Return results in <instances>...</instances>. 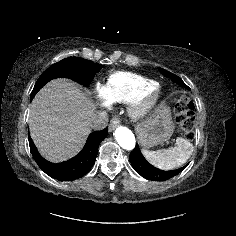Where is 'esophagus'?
<instances>
[{"mask_svg": "<svg viewBox=\"0 0 236 236\" xmlns=\"http://www.w3.org/2000/svg\"><path fill=\"white\" fill-rule=\"evenodd\" d=\"M120 124V119L118 117H113L109 124V131L111 132Z\"/></svg>", "mask_w": 236, "mask_h": 236, "instance_id": "obj_1", "label": "esophagus"}]
</instances>
